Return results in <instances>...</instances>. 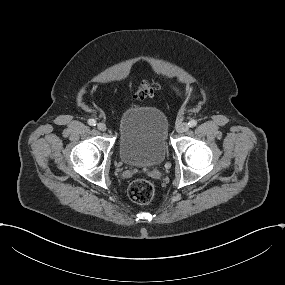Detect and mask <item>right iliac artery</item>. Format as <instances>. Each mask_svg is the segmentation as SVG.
I'll return each instance as SVG.
<instances>
[{"instance_id":"right-iliac-artery-1","label":"right iliac artery","mask_w":285,"mask_h":285,"mask_svg":"<svg viewBox=\"0 0 285 285\" xmlns=\"http://www.w3.org/2000/svg\"><path fill=\"white\" fill-rule=\"evenodd\" d=\"M88 124L91 126H95L96 125V121L94 119H89L88 120Z\"/></svg>"}]
</instances>
